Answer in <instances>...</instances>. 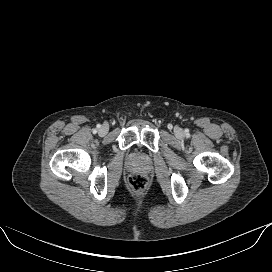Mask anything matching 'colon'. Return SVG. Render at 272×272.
I'll return each instance as SVG.
<instances>
[{
    "mask_svg": "<svg viewBox=\"0 0 272 272\" xmlns=\"http://www.w3.org/2000/svg\"><path fill=\"white\" fill-rule=\"evenodd\" d=\"M129 187L134 191H142L147 186V179L141 174H131L127 179Z\"/></svg>",
    "mask_w": 272,
    "mask_h": 272,
    "instance_id": "colon-1",
    "label": "colon"
}]
</instances>
